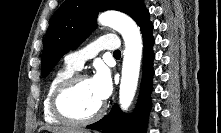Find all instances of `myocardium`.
Returning <instances> with one entry per match:
<instances>
[{"label":"myocardium","mask_w":221,"mask_h":133,"mask_svg":"<svg viewBox=\"0 0 221 133\" xmlns=\"http://www.w3.org/2000/svg\"><path fill=\"white\" fill-rule=\"evenodd\" d=\"M90 79L86 74H73L72 76L66 78L54 89L51 96V110L55 117L60 119L62 122L72 124V125H86L98 120L105 112V104L102 103L98 110L92 115L85 118H78L69 114L64 106V97L81 81Z\"/></svg>","instance_id":"myocardium-1"}]
</instances>
